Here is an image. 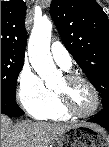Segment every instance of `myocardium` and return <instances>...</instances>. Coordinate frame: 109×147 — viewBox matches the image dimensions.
<instances>
[{
    "label": "myocardium",
    "instance_id": "1",
    "mask_svg": "<svg viewBox=\"0 0 109 147\" xmlns=\"http://www.w3.org/2000/svg\"><path fill=\"white\" fill-rule=\"evenodd\" d=\"M65 81L67 84V90L56 91L63 108L70 115L76 116V117H81V118L90 117L93 114H95L100 106V94H99L97 88L95 87V85L88 78H86L82 75H78V74L67 75L65 77ZM78 82L85 83L92 90L94 97H95V103H94L93 108L86 113H82L76 109V107L74 106L72 97H71V88H72V86H74Z\"/></svg>",
    "mask_w": 109,
    "mask_h": 147
}]
</instances>
